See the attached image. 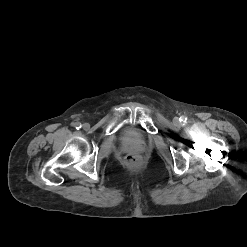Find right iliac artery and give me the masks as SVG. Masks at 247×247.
Wrapping results in <instances>:
<instances>
[{"mask_svg": "<svg viewBox=\"0 0 247 247\" xmlns=\"http://www.w3.org/2000/svg\"><path fill=\"white\" fill-rule=\"evenodd\" d=\"M73 126L76 128V129H80L81 128V123L80 122H75L73 124Z\"/></svg>", "mask_w": 247, "mask_h": 247, "instance_id": "1", "label": "right iliac artery"}]
</instances>
